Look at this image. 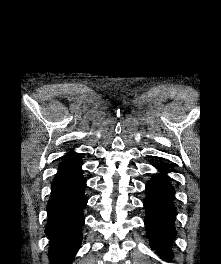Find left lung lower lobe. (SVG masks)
<instances>
[{"mask_svg": "<svg viewBox=\"0 0 221 264\" xmlns=\"http://www.w3.org/2000/svg\"><path fill=\"white\" fill-rule=\"evenodd\" d=\"M156 174L146 185L147 196L145 226L152 249L159 250L165 256H171L170 244L176 235L174 219L176 208L173 205L174 188L170 184L167 169L158 167Z\"/></svg>", "mask_w": 221, "mask_h": 264, "instance_id": "1", "label": "left lung lower lobe"}]
</instances>
